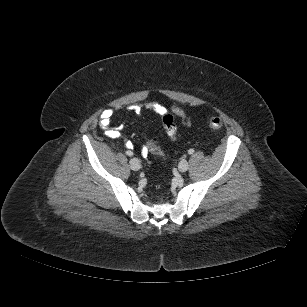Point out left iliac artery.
Returning a JSON list of instances; mask_svg holds the SVG:
<instances>
[{
    "mask_svg": "<svg viewBox=\"0 0 307 307\" xmlns=\"http://www.w3.org/2000/svg\"><path fill=\"white\" fill-rule=\"evenodd\" d=\"M194 153V150L193 149H189L188 150V154H193Z\"/></svg>",
    "mask_w": 307,
    "mask_h": 307,
    "instance_id": "left-iliac-artery-1",
    "label": "left iliac artery"
}]
</instances>
